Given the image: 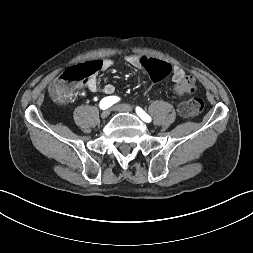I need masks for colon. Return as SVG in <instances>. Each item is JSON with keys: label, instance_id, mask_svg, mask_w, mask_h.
<instances>
[{"label": "colon", "instance_id": "5ec220e1", "mask_svg": "<svg viewBox=\"0 0 253 253\" xmlns=\"http://www.w3.org/2000/svg\"><path fill=\"white\" fill-rule=\"evenodd\" d=\"M137 62L142 63L143 69L148 72L154 82L150 85L154 87L163 78L171 72V66L165 62L154 59L153 57L138 56ZM99 70L97 61H90L80 65H76L65 70L52 86L51 92L53 98L58 102H66L70 99L73 85L83 81ZM197 82L196 79L184 74L180 77L175 85L174 91L179 95H185L194 92ZM204 103L200 98H191L179 105V113L184 117L196 116L202 112Z\"/></svg>", "mask_w": 253, "mask_h": 253}]
</instances>
